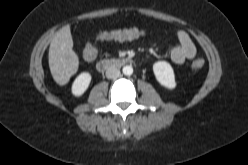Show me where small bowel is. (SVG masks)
Returning a JSON list of instances; mask_svg holds the SVG:
<instances>
[{"mask_svg":"<svg viewBox=\"0 0 248 165\" xmlns=\"http://www.w3.org/2000/svg\"><path fill=\"white\" fill-rule=\"evenodd\" d=\"M127 31L133 32L134 35L124 39H117V38H110V39L122 41V40L138 39L144 36V31L142 29L132 28V29H127ZM176 36H177V44L172 48L170 52V59L174 64L180 65L183 64L186 60L193 59L196 56V48L187 32L183 30H179L177 31ZM87 45H94V43L90 42Z\"/></svg>","mask_w":248,"mask_h":165,"instance_id":"small-bowel-1","label":"small bowel"}]
</instances>
